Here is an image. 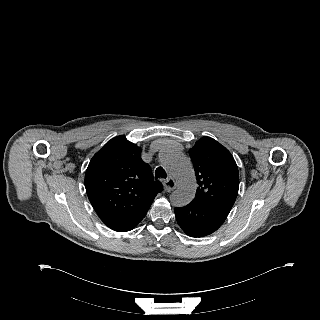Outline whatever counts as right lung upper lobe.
Masks as SVG:
<instances>
[{
	"instance_id": "cb5924a9",
	"label": "right lung upper lobe",
	"mask_w": 320,
	"mask_h": 320,
	"mask_svg": "<svg viewBox=\"0 0 320 320\" xmlns=\"http://www.w3.org/2000/svg\"><path fill=\"white\" fill-rule=\"evenodd\" d=\"M88 198L105 223L147 211L162 191L141 149L124 136L108 141L91 159L85 174Z\"/></svg>"
}]
</instances>
